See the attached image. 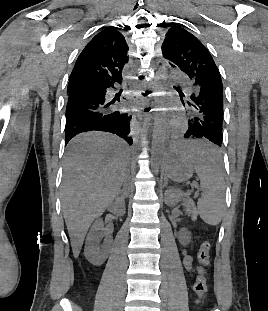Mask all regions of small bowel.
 <instances>
[{
    "label": "small bowel",
    "instance_id": "1",
    "mask_svg": "<svg viewBox=\"0 0 268 311\" xmlns=\"http://www.w3.org/2000/svg\"><path fill=\"white\" fill-rule=\"evenodd\" d=\"M183 263L185 268L189 271L192 272L194 270L193 268V258L187 254L186 251L183 252Z\"/></svg>",
    "mask_w": 268,
    "mask_h": 311
}]
</instances>
